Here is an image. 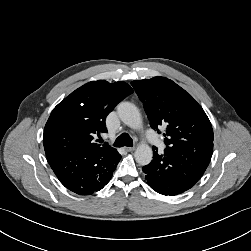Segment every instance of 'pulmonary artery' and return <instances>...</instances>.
Returning <instances> with one entry per match:
<instances>
[{"label":"pulmonary artery","instance_id":"obj_1","mask_svg":"<svg viewBox=\"0 0 251 251\" xmlns=\"http://www.w3.org/2000/svg\"><path fill=\"white\" fill-rule=\"evenodd\" d=\"M146 139L153 145L161 147L162 143L157 139V137L151 132H146Z\"/></svg>","mask_w":251,"mask_h":251}]
</instances>
